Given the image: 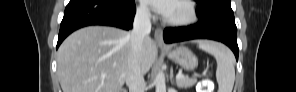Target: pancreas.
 <instances>
[{"label": "pancreas", "instance_id": "cf45deb5", "mask_svg": "<svg viewBox=\"0 0 296 92\" xmlns=\"http://www.w3.org/2000/svg\"><path fill=\"white\" fill-rule=\"evenodd\" d=\"M197 83L196 78H189V77H183L177 81V86L179 88H190L193 85Z\"/></svg>", "mask_w": 296, "mask_h": 92}]
</instances>
